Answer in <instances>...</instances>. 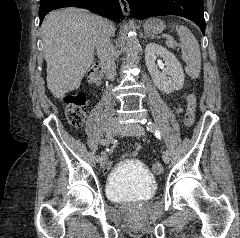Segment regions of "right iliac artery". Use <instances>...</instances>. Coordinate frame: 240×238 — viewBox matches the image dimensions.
<instances>
[{
  "label": "right iliac artery",
  "instance_id": "1",
  "mask_svg": "<svg viewBox=\"0 0 240 238\" xmlns=\"http://www.w3.org/2000/svg\"><path fill=\"white\" fill-rule=\"evenodd\" d=\"M106 143H107V142L104 141V140H100V141H99V144H100L101 146H103V147L106 145ZM100 159H101L100 156H97V157H96V160H97V161H100Z\"/></svg>",
  "mask_w": 240,
  "mask_h": 238
}]
</instances>
